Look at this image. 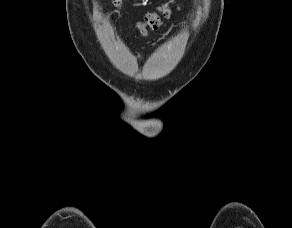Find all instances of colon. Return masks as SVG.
Returning a JSON list of instances; mask_svg holds the SVG:
<instances>
[{
    "mask_svg": "<svg viewBox=\"0 0 292 228\" xmlns=\"http://www.w3.org/2000/svg\"><path fill=\"white\" fill-rule=\"evenodd\" d=\"M121 0H114L115 4H119ZM170 14L169 3L160 6L157 11L148 13L145 18L139 22L138 29L142 33H146L149 29H156L162 18L168 17Z\"/></svg>",
    "mask_w": 292,
    "mask_h": 228,
    "instance_id": "obj_1",
    "label": "colon"
}]
</instances>
